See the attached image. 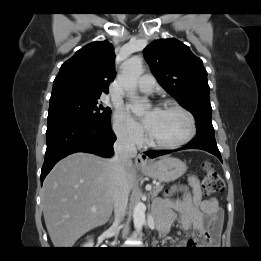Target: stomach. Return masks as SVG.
Instances as JSON below:
<instances>
[{
  "label": "stomach",
  "mask_w": 261,
  "mask_h": 261,
  "mask_svg": "<svg viewBox=\"0 0 261 261\" xmlns=\"http://www.w3.org/2000/svg\"><path fill=\"white\" fill-rule=\"evenodd\" d=\"M187 170L186 164L178 158L164 156L158 161L151 162L141 171L151 178L162 182H171L181 177Z\"/></svg>",
  "instance_id": "1"
}]
</instances>
